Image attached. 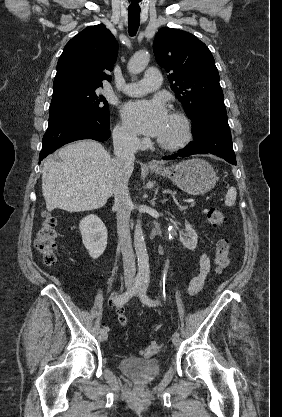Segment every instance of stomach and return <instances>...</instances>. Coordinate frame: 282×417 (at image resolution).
I'll return each mask as SVG.
<instances>
[{
	"instance_id": "stomach-1",
	"label": "stomach",
	"mask_w": 282,
	"mask_h": 417,
	"mask_svg": "<svg viewBox=\"0 0 282 417\" xmlns=\"http://www.w3.org/2000/svg\"><path fill=\"white\" fill-rule=\"evenodd\" d=\"M157 174L167 176L181 190L188 194H205L214 188L217 180L216 172L207 160L202 158H190L182 160L172 166H157L152 168Z\"/></svg>"
}]
</instances>
